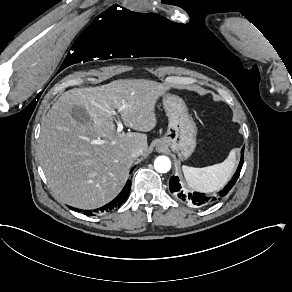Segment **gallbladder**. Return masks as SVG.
Returning a JSON list of instances; mask_svg holds the SVG:
<instances>
[{
    "instance_id": "1",
    "label": "gallbladder",
    "mask_w": 292,
    "mask_h": 292,
    "mask_svg": "<svg viewBox=\"0 0 292 292\" xmlns=\"http://www.w3.org/2000/svg\"><path fill=\"white\" fill-rule=\"evenodd\" d=\"M70 114L77 122L85 123L90 120V115L83 106L73 105Z\"/></svg>"
}]
</instances>
